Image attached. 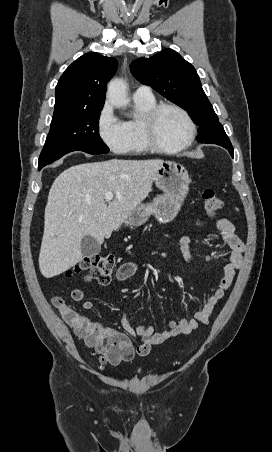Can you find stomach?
I'll list each match as a JSON object with an SVG mask.
<instances>
[{
	"label": "stomach",
	"mask_w": 272,
	"mask_h": 452,
	"mask_svg": "<svg viewBox=\"0 0 272 452\" xmlns=\"http://www.w3.org/2000/svg\"><path fill=\"white\" fill-rule=\"evenodd\" d=\"M153 181L163 194L155 197L151 203L137 205L126 217V226H140L151 215L160 223L171 222L177 216L189 191L190 177L187 170L179 163L163 161Z\"/></svg>",
	"instance_id": "stomach-1"
}]
</instances>
